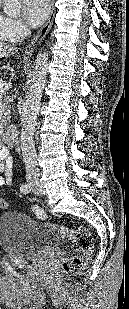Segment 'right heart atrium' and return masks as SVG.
Returning <instances> with one entry per match:
<instances>
[{"mask_svg": "<svg viewBox=\"0 0 129 309\" xmlns=\"http://www.w3.org/2000/svg\"><path fill=\"white\" fill-rule=\"evenodd\" d=\"M8 30L14 40H20L28 33L26 25L19 19L9 18Z\"/></svg>", "mask_w": 129, "mask_h": 309, "instance_id": "obj_1", "label": "right heart atrium"}]
</instances>
